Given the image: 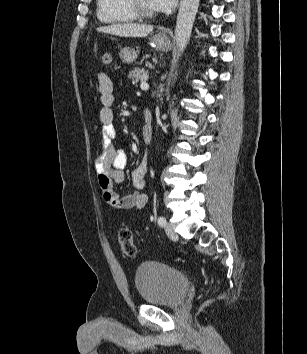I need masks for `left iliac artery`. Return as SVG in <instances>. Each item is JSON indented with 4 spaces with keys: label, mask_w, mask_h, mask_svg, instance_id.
<instances>
[{
    "label": "left iliac artery",
    "mask_w": 307,
    "mask_h": 354,
    "mask_svg": "<svg viewBox=\"0 0 307 354\" xmlns=\"http://www.w3.org/2000/svg\"><path fill=\"white\" fill-rule=\"evenodd\" d=\"M158 224L160 227H164L166 225V219L163 216L158 217Z\"/></svg>",
    "instance_id": "left-iliac-artery-1"
}]
</instances>
